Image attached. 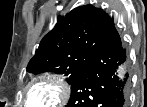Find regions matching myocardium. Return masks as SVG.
<instances>
[{"label": "myocardium", "mask_w": 147, "mask_h": 107, "mask_svg": "<svg viewBox=\"0 0 147 107\" xmlns=\"http://www.w3.org/2000/svg\"><path fill=\"white\" fill-rule=\"evenodd\" d=\"M48 84L54 87L56 99L46 107H59L65 104L70 95V86L68 82L60 75L55 73H45L33 78L24 89L23 103L27 104L30 91L37 85Z\"/></svg>", "instance_id": "f54148a6"}]
</instances>
